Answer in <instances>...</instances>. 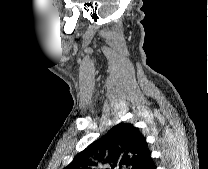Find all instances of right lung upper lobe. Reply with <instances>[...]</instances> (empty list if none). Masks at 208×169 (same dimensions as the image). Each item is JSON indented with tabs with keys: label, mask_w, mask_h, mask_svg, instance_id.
Segmentation results:
<instances>
[{
	"label": "right lung upper lobe",
	"mask_w": 208,
	"mask_h": 169,
	"mask_svg": "<svg viewBox=\"0 0 208 169\" xmlns=\"http://www.w3.org/2000/svg\"><path fill=\"white\" fill-rule=\"evenodd\" d=\"M150 159L151 152L139 129L120 123L77 154L64 169H142Z\"/></svg>",
	"instance_id": "right-lung-upper-lobe-1"
}]
</instances>
